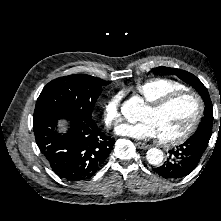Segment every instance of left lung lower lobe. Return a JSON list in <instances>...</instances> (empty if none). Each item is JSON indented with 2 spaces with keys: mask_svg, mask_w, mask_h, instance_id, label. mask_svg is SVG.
Listing matches in <instances>:
<instances>
[{
  "mask_svg": "<svg viewBox=\"0 0 221 221\" xmlns=\"http://www.w3.org/2000/svg\"><path fill=\"white\" fill-rule=\"evenodd\" d=\"M211 134L195 133L185 143L169 151L167 161L154 169L163 178L180 179L198 165Z\"/></svg>",
  "mask_w": 221,
  "mask_h": 221,
  "instance_id": "left-lung-lower-lobe-1",
  "label": "left lung lower lobe"
}]
</instances>
